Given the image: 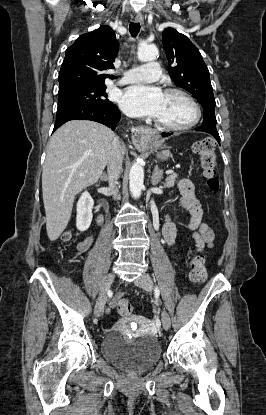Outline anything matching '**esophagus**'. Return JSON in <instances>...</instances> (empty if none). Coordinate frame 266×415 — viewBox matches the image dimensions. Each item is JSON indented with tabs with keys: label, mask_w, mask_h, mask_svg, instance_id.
<instances>
[{
	"label": "esophagus",
	"mask_w": 266,
	"mask_h": 415,
	"mask_svg": "<svg viewBox=\"0 0 266 415\" xmlns=\"http://www.w3.org/2000/svg\"><path fill=\"white\" fill-rule=\"evenodd\" d=\"M134 22L143 23V16L141 14L136 15ZM149 130L145 127H135L132 129V142L134 145H142L146 141Z\"/></svg>",
	"instance_id": "esophagus-1"
}]
</instances>
